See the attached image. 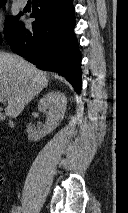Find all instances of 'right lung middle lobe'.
<instances>
[{
  "mask_svg": "<svg viewBox=\"0 0 128 213\" xmlns=\"http://www.w3.org/2000/svg\"><path fill=\"white\" fill-rule=\"evenodd\" d=\"M20 17V15L14 17V18H10L9 21L5 24L6 25V30H5V37H8L10 35V33L15 29V27L18 25L19 21L18 18ZM2 38L0 36V44L2 43Z\"/></svg>",
  "mask_w": 128,
  "mask_h": 213,
  "instance_id": "dd1d6c3e",
  "label": "right lung middle lobe"
}]
</instances>
